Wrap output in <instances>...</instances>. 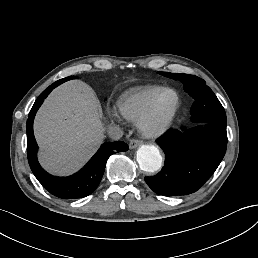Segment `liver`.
<instances>
[{
  "mask_svg": "<svg viewBox=\"0 0 258 258\" xmlns=\"http://www.w3.org/2000/svg\"><path fill=\"white\" fill-rule=\"evenodd\" d=\"M99 110L94 90L81 80H70L50 93L34 120L44 169L71 174L90 159L105 137Z\"/></svg>",
  "mask_w": 258,
  "mask_h": 258,
  "instance_id": "obj_1",
  "label": "liver"
}]
</instances>
